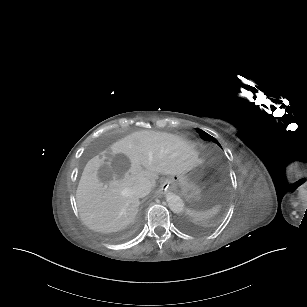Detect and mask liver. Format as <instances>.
I'll use <instances>...</instances> for the list:
<instances>
[{
	"label": "liver",
	"mask_w": 307,
	"mask_h": 307,
	"mask_svg": "<svg viewBox=\"0 0 307 307\" xmlns=\"http://www.w3.org/2000/svg\"><path fill=\"white\" fill-rule=\"evenodd\" d=\"M202 163L180 137L142 131L114 143L86 164L76 192L81 219L92 230L115 232L135 218L140 204L133 185L142 178L180 175Z\"/></svg>",
	"instance_id": "6515ba94"
}]
</instances>
